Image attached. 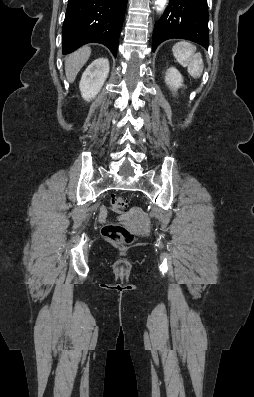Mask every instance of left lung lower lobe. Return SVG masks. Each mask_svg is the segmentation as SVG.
I'll use <instances>...</instances> for the list:
<instances>
[{"mask_svg": "<svg viewBox=\"0 0 254 397\" xmlns=\"http://www.w3.org/2000/svg\"><path fill=\"white\" fill-rule=\"evenodd\" d=\"M208 19L207 0H169L167 9L155 24L152 50L171 38L188 39L208 49Z\"/></svg>", "mask_w": 254, "mask_h": 397, "instance_id": "obj_1", "label": "left lung lower lobe"}]
</instances>
